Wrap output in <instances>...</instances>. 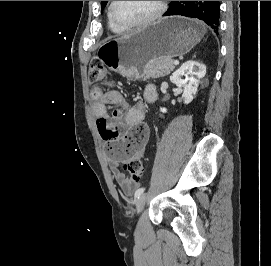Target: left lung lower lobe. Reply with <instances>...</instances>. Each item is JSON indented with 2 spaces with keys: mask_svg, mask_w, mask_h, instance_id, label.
I'll use <instances>...</instances> for the list:
<instances>
[{
  "mask_svg": "<svg viewBox=\"0 0 271 266\" xmlns=\"http://www.w3.org/2000/svg\"><path fill=\"white\" fill-rule=\"evenodd\" d=\"M182 15L198 18L218 34L220 3L219 1H172L164 16Z\"/></svg>",
  "mask_w": 271,
  "mask_h": 266,
  "instance_id": "left-lung-lower-lobe-1",
  "label": "left lung lower lobe"
}]
</instances>
